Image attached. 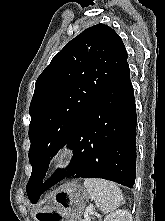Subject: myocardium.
Listing matches in <instances>:
<instances>
[{
	"label": "myocardium",
	"instance_id": "f54148a6",
	"mask_svg": "<svg viewBox=\"0 0 165 221\" xmlns=\"http://www.w3.org/2000/svg\"><path fill=\"white\" fill-rule=\"evenodd\" d=\"M74 156V149L71 144L63 143L58 145L51 153L50 163L54 169H66Z\"/></svg>",
	"mask_w": 165,
	"mask_h": 221
}]
</instances>
